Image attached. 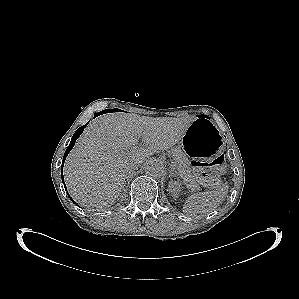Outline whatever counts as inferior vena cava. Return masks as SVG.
Masks as SVG:
<instances>
[{"instance_id":"1","label":"inferior vena cava","mask_w":299,"mask_h":299,"mask_svg":"<svg viewBox=\"0 0 299 299\" xmlns=\"http://www.w3.org/2000/svg\"><path fill=\"white\" fill-rule=\"evenodd\" d=\"M137 168H138V163H132V164H130L128 172L136 170Z\"/></svg>"}]
</instances>
